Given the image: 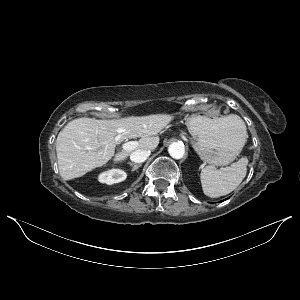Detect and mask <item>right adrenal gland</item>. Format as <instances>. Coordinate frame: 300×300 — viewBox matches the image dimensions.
<instances>
[{
    "instance_id": "2a0ac1e0",
    "label": "right adrenal gland",
    "mask_w": 300,
    "mask_h": 300,
    "mask_svg": "<svg viewBox=\"0 0 300 300\" xmlns=\"http://www.w3.org/2000/svg\"><path fill=\"white\" fill-rule=\"evenodd\" d=\"M128 164L133 167L132 172H134L135 170H137L141 166V164H133L131 162H129Z\"/></svg>"
}]
</instances>
